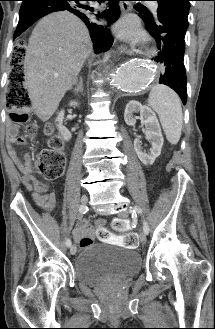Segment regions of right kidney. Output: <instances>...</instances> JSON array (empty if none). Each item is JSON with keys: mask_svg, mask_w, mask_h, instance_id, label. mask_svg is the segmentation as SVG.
<instances>
[{"mask_svg": "<svg viewBox=\"0 0 215 329\" xmlns=\"http://www.w3.org/2000/svg\"><path fill=\"white\" fill-rule=\"evenodd\" d=\"M78 102L76 101H72L70 102V106H78ZM63 119H64V111H60L58 113V116L55 120V123H56V126H57V129L59 131V133L61 134V136L63 137V139L65 141H69L72 137L71 133L68 131V129L63 126Z\"/></svg>", "mask_w": 215, "mask_h": 329, "instance_id": "right-kidney-1", "label": "right kidney"}]
</instances>
